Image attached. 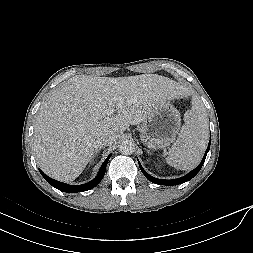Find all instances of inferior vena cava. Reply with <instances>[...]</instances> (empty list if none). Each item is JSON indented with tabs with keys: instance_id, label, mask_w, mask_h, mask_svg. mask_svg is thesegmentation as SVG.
I'll use <instances>...</instances> for the list:
<instances>
[{
	"instance_id": "obj_1",
	"label": "inferior vena cava",
	"mask_w": 253,
	"mask_h": 253,
	"mask_svg": "<svg viewBox=\"0 0 253 253\" xmlns=\"http://www.w3.org/2000/svg\"><path fill=\"white\" fill-rule=\"evenodd\" d=\"M115 141V137L108 131H103L99 135V143L102 146L111 145Z\"/></svg>"
}]
</instances>
